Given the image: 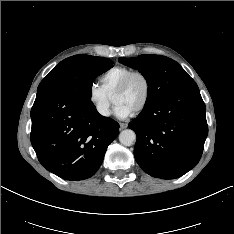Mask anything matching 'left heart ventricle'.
<instances>
[{"label":"left heart ventricle","instance_id":"1","mask_svg":"<svg viewBox=\"0 0 234 234\" xmlns=\"http://www.w3.org/2000/svg\"><path fill=\"white\" fill-rule=\"evenodd\" d=\"M145 92L146 86L144 80L141 77H135L128 89L115 97L114 103L126 107L133 113L142 103Z\"/></svg>","mask_w":234,"mask_h":234}]
</instances>
